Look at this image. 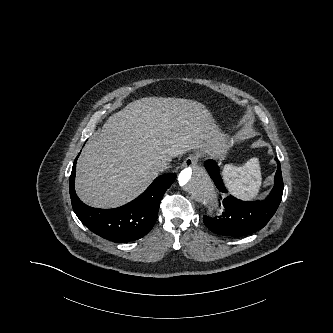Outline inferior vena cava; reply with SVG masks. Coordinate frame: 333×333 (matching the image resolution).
<instances>
[{
  "label": "inferior vena cava",
  "mask_w": 333,
  "mask_h": 333,
  "mask_svg": "<svg viewBox=\"0 0 333 333\" xmlns=\"http://www.w3.org/2000/svg\"><path fill=\"white\" fill-rule=\"evenodd\" d=\"M156 167L159 171H163L165 169H168L170 165L167 161H160L156 164Z\"/></svg>",
  "instance_id": "inferior-vena-cava-1"
}]
</instances>
